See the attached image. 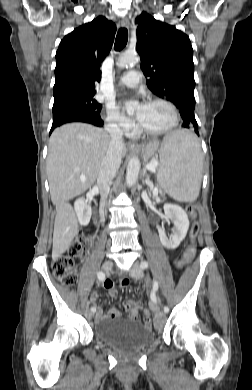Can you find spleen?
Listing matches in <instances>:
<instances>
[{
  "instance_id": "3e777b00",
  "label": "spleen",
  "mask_w": 252,
  "mask_h": 390,
  "mask_svg": "<svg viewBox=\"0 0 252 390\" xmlns=\"http://www.w3.org/2000/svg\"><path fill=\"white\" fill-rule=\"evenodd\" d=\"M157 180L179 202L197 199L202 180L203 155L194 134L178 130L166 136L161 146Z\"/></svg>"
}]
</instances>
